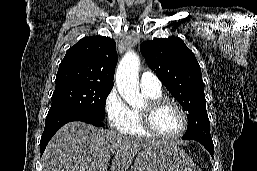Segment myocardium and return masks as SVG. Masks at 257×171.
Wrapping results in <instances>:
<instances>
[{
    "label": "myocardium",
    "mask_w": 257,
    "mask_h": 171,
    "mask_svg": "<svg viewBox=\"0 0 257 171\" xmlns=\"http://www.w3.org/2000/svg\"><path fill=\"white\" fill-rule=\"evenodd\" d=\"M164 104H172L178 109V111L182 116V121H183L182 128L180 129L179 132L175 134H171V135L162 134L158 132L153 125V115L155 111ZM140 116H141L142 128L149 135L154 136L156 138L166 139V140L177 139L181 137L188 128V116L185 109L182 107V105L179 102L169 97L161 96L155 99L147 100L145 106L140 109Z\"/></svg>",
    "instance_id": "1"
}]
</instances>
